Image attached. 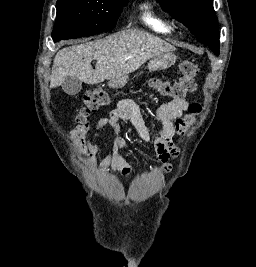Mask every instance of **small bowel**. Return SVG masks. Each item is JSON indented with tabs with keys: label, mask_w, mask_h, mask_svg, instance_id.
I'll list each match as a JSON object with an SVG mask.
<instances>
[{
	"label": "small bowel",
	"mask_w": 256,
	"mask_h": 267,
	"mask_svg": "<svg viewBox=\"0 0 256 267\" xmlns=\"http://www.w3.org/2000/svg\"><path fill=\"white\" fill-rule=\"evenodd\" d=\"M188 107L187 99L171 100L157 110L146 111L157 124L158 131L150 132L142 119L143 110L129 98L121 99L114 108L101 116L95 125L83 123L73 133L74 143L81 148L84 162L93 170L119 172L128 177L133 170L123 155L126 140L121 135L120 121L131 120L135 124L139 136L146 143L152 144L162 162V170L170 169V161L176 157L177 151L174 146L176 126L174 119L181 118ZM104 129L110 131L111 150L108 155L98 164L96 155L99 153L101 143L93 141V136Z\"/></svg>",
	"instance_id": "obj_1"
}]
</instances>
